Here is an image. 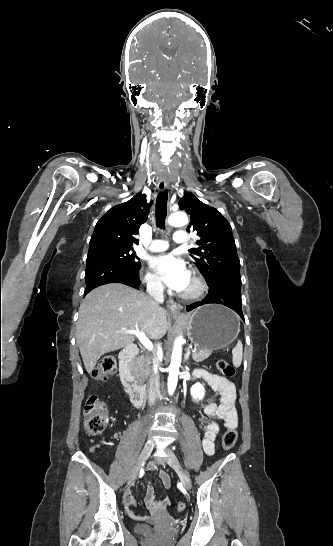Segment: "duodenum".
<instances>
[{
  "label": "duodenum",
  "mask_w": 333,
  "mask_h": 546,
  "mask_svg": "<svg viewBox=\"0 0 333 546\" xmlns=\"http://www.w3.org/2000/svg\"><path fill=\"white\" fill-rule=\"evenodd\" d=\"M138 354L137 347L127 346L120 357V377L127 395L136 406H141L146 399L145 388L138 382L133 371V362Z\"/></svg>",
  "instance_id": "1"
}]
</instances>
